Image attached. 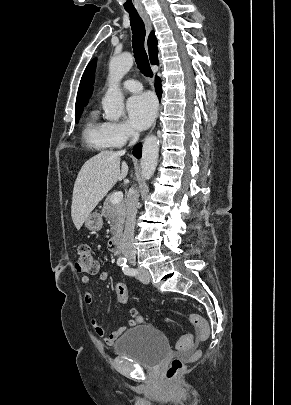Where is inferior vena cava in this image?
Masks as SVG:
<instances>
[{
	"label": "inferior vena cava",
	"instance_id": "602c4592",
	"mask_svg": "<svg viewBox=\"0 0 291 405\" xmlns=\"http://www.w3.org/2000/svg\"><path fill=\"white\" fill-rule=\"evenodd\" d=\"M131 141L129 145H133L139 138V133L131 131ZM124 153V150L121 151ZM139 193L136 189H131L126 199V224L122 237V253L129 261L136 260V250L133 244L135 219L137 214Z\"/></svg>",
	"mask_w": 291,
	"mask_h": 405
}]
</instances>
